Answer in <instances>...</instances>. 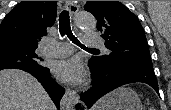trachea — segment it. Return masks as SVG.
I'll return each mask as SVG.
<instances>
[{
    "mask_svg": "<svg viewBox=\"0 0 171 110\" xmlns=\"http://www.w3.org/2000/svg\"><path fill=\"white\" fill-rule=\"evenodd\" d=\"M59 31H60L61 36L66 35L73 43L80 46L81 48L91 49V48H87L84 45H82L79 42V40L73 35V33L71 31V26H70L69 12L67 10L62 11L60 14ZM91 50H98V49L92 48Z\"/></svg>",
    "mask_w": 171,
    "mask_h": 110,
    "instance_id": "obj_1",
    "label": "trachea"
}]
</instances>
